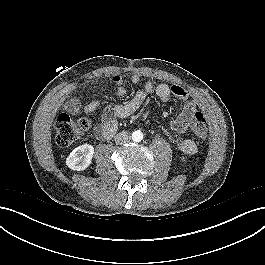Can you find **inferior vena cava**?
Here are the masks:
<instances>
[{
  "label": "inferior vena cava",
  "instance_id": "obj_1",
  "mask_svg": "<svg viewBox=\"0 0 265 265\" xmlns=\"http://www.w3.org/2000/svg\"><path fill=\"white\" fill-rule=\"evenodd\" d=\"M131 139L130 134L127 131H122L118 133L115 137V143L116 144H124L129 142Z\"/></svg>",
  "mask_w": 265,
  "mask_h": 265
}]
</instances>
